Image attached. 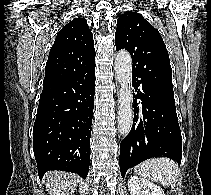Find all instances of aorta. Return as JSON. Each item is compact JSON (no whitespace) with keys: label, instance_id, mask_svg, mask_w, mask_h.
<instances>
[{"label":"aorta","instance_id":"1","mask_svg":"<svg viewBox=\"0 0 211 195\" xmlns=\"http://www.w3.org/2000/svg\"><path fill=\"white\" fill-rule=\"evenodd\" d=\"M115 71L120 89L118 108V130L122 136H127L133 123L131 72L132 59L130 54L121 50L115 57Z\"/></svg>","mask_w":211,"mask_h":195}]
</instances>
